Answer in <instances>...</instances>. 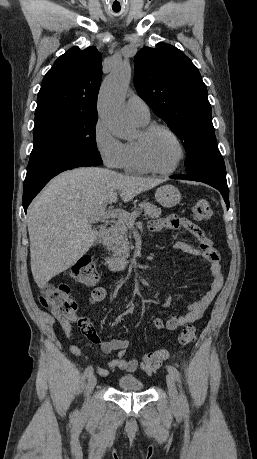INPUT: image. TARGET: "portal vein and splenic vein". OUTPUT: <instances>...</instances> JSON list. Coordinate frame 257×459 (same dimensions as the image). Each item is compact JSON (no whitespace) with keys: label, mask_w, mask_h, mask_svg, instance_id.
Here are the masks:
<instances>
[{"label":"portal vein and splenic vein","mask_w":257,"mask_h":459,"mask_svg":"<svg viewBox=\"0 0 257 459\" xmlns=\"http://www.w3.org/2000/svg\"><path fill=\"white\" fill-rule=\"evenodd\" d=\"M137 215H130L124 210H101L98 214L94 215L89 219V222L95 223L102 220L117 218L118 220L127 222L130 226L135 224Z\"/></svg>","instance_id":"portal-vein-and-splenic-vein-1"}]
</instances>
